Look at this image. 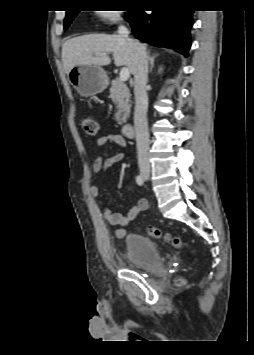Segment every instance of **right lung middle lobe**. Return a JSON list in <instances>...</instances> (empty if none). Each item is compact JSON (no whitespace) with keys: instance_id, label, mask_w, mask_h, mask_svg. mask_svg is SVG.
Here are the masks:
<instances>
[{"instance_id":"obj_1","label":"right lung middle lobe","mask_w":254,"mask_h":355,"mask_svg":"<svg viewBox=\"0 0 254 355\" xmlns=\"http://www.w3.org/2000/svg\"><path fill=\"white\" fill-rule=\"evenodd\" d=\"M79 11H67L66 18L64 21V29L70 25L74 17L78 14Z\"/></svg>"}]
</instances>
